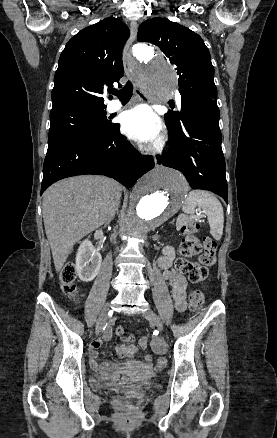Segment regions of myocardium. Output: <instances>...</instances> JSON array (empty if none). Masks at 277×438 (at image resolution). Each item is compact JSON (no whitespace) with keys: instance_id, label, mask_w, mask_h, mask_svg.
Masks as SVG:
<instances>
[{"instance_id":"1","label":"myocardium","mask_w":277,"mask_h":438,"mask_svg":"<svg viewBox=\"0 0 277 438\" xmlns=\"http://www.w3.org/2000/svg\"><path fill=\"white\" fill-rule=\"evenodd\" d=\"M129 50H132V46L130 47ZM163 145H164V141H163V140H160V141L156 144L155 150H156V151L160 150V149L162 148Z\"/></svg>"}]
</instances>
